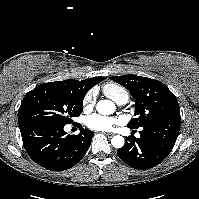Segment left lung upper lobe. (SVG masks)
Here are the masks:
<instances>
[{"instance_id": "left-lung-upper-lobe-1", "label": "left lung upper lobe", "mask_w": 199, "mask_h": 199, "mask_svg": "<svg viewBox=\"0 0 199 199\" xmlns=\"http://www.w3.org/2000/svg\"><path fill=\"white\" fill-rule=\"evenodd\" d=\"M111 80L130 91L136 100L135 118L128 123L137 129L161 118L180 117V109L175 95L162 82L142 76H112Z\"/></svg>"}]
</instances>
